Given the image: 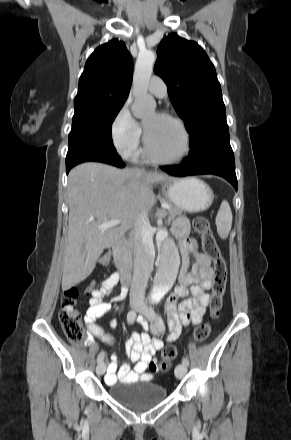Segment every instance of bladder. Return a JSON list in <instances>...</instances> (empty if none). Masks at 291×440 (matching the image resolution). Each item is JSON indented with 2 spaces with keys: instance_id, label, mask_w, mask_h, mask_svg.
I'll list each match as a JSON object with an SVG mask.
<instances>
[{
  "instance_id": "31cf9c89",
  "label": "bladder",
  "mask_w": 291,
  "mask_h": 440,
  "mask_svg": "<svg viewBox=\"0 0 291 440\" xmlns=\"http://www.w3.org/2000/svg\"><path fill=\"white\" fill-rule=\"evenodd\" d=\"M109 395L121 405L140 408L162 402L167 396V390L157 383L135 379L111 385Z\"/></svg>"
}]
</instances>
